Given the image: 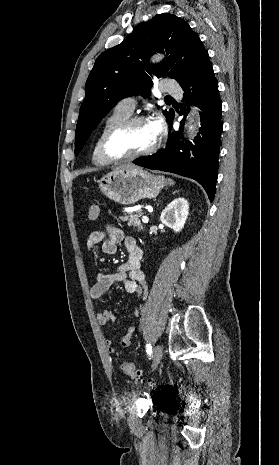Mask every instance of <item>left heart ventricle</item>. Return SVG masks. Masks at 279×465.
Listing matches in <instances>:
<instances>
[{
	"label": "left heart ventricle",
	"mask_w": 279,
	"mask_h": 465,
	"mask_svg": "<svg viewBox=\"0 0 279 465\" xmlns=\"http://www.w3.org/2000/svg\"><path fill=\"white\" fill-rule=\"evenodd\" d=\"M155 137L150 123L135 124L113 136L109 152L115 156L140 152L150 147Z\"/></svg>",
	"instance_id": "obj_1"
}]
</instances>
